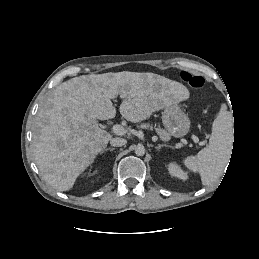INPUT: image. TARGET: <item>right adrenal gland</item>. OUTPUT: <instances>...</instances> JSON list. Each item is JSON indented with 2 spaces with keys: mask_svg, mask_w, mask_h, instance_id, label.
Masks as SVG:
<instances>
[{
  "mask_svg": "<svg viewBox=\"0 0 259 259\" xmlns=\"http://www.w3.org/2000/svg\"><path fill=\"white\" fill-rule=\"evenodd\" d=\"M114 150L115 148H111V147L105 149V151H114Z\"/></svg>",
  "mask_w": 259,
  "mask_h": 259,
  "instance_id": "obj_1",
  "label": "right adrenal gland"
}]
</instances>
